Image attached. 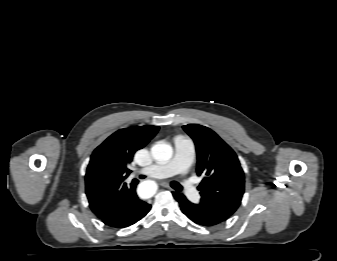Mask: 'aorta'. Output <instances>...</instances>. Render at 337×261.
<instances>
[{
    "label": "aorta",
    "instance_id": "obj_1",
    "mask_svg": "<svg viewBox=\"0 0 337 261\" xmlns=\"http://www.w3.org/2000/svg\"><path fill=\"white\" fill-rule=\"evenodd\" d=\"M151 154L157 162L165 164L171 159L173 149L169 144L157 143L152 146ZM156 190L157 184L152 180L141 182L137 188L138 195L142 198L152 197L156 193Z\"/></svg>",
    "mask_w": 337,
    "mask_h": 261
}]
</instances>
